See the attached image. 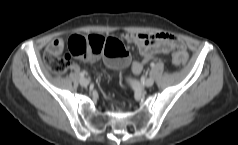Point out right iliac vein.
<instances>
[{
	"instance_id": "obj_1",
	"label": "right iliac vein",
	"mask_w": 238,
	"mask_h": 145,
	"mask_svg": "<svg viewBox=\"0 0 238 145\" xmlns=\"http://www.w3.org/2000/svg\"><path fill=\"white\" fill-rule=\"evenodd\" d=\"M80 84L82 86H87L89 84V80L87 78H81L80 79Z\"/></svg>"
}]
</instances>
